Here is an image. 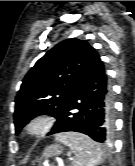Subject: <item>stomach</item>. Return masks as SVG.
<instances>
[{"label": "stomach", "mask_w": 135, "mask_h": 166, "mask_svg": "<svg viewBox=\"0 0 135 166\" xmlns=\"http://www.w3.org/2000/svg\"><path fill=\"white\" fill-rule=\"evenodd\" d=\"M62 151V147L58 144L48 146L43 152L42 159H47L53 156L60 155Z\"/></svg>", "instance_id": "0dacf381"}]
</instances>
